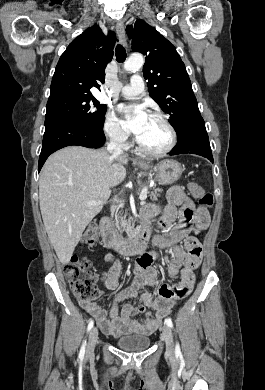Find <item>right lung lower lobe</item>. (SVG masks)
I'll list each match as a JSON object with an SVG mask.
<instances>
[{
	"label": "right lung lower lobe",
	"instance_id": "1",
	"mask_svg": "<svg viewBox=\"0 0 265 390\" xmlns=\"http://www.w3.org/2000/svg\"><path fill=\"white\" fill-rule=\"evenodd\" d=\"M104 142L103 127H93L68 117L45 118V133L38 171L41 170L47 157L56 150L70 145L99 148Z\"/></svg>",
	"mask_w": 265,
	"mask_h": 390
}]
</instances>
